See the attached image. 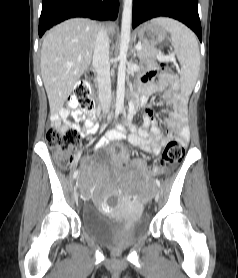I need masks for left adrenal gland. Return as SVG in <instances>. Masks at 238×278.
<instances>
[{
    "label": "left adrenal gland",
    "mask_w": 238,
    "mask_h": 278,
    "mask_svg": "<svg viewBox=\"0 0 238 278\" xmlns=\"http://www.w3.org/2000/svg\"><path fill=\"white\" fill-rule=\"evenodd\" d=\"M136 56V50L134 49L133 50V57H135Z\"/></svg>",
    "instance_id": "obj_1"
}]
</instances>
